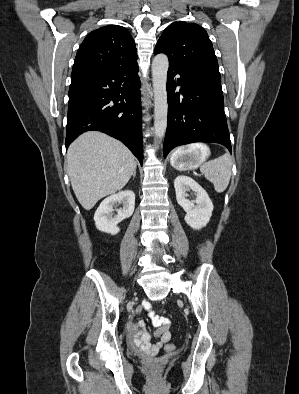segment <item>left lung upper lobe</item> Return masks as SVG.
Masks as SVG:
<instances>
[{
	"label": "left lung upper lobe",
	"mask_w": 299,
	"mask_h": 394,
	"mask_svg": "<svg viewBox=\"0 0 299 394\" xmlns=\"http://www.w3.org/2000/svg\"><path fill=\"white\" fill-rule=\"evenodd\" d=\"M154 53H164L169 65L179 68L209 67L218 69L217 58L206 31L198 24L174 22L159 38Z\"/></svg>",
	"instance_id": "left-lung-upper-lobe-1"
}]
</instances>
